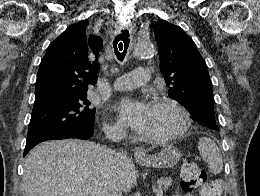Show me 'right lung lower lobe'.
Here are the masks:
<instances>
[{"mask_svg":"<svg viewBox=\"0 0 260 196\" xmlns=\"http://www.w3.org/2000/svg\"><path fill=\"white\" fill-rule=\"evenodd\" d=\"M94 133V125L81 129V130H77L68 134H64L61 136H58L52 140H59V139H67V138H78V139H89ZM35 146V145H34ZM34 146H29V147H25V151H24V156L34 147Z\"/></svg>","mask_w":260,"mask_h":196,"instance_id":"obj_1","label":"right lung lower lobe"}]
</instances>
